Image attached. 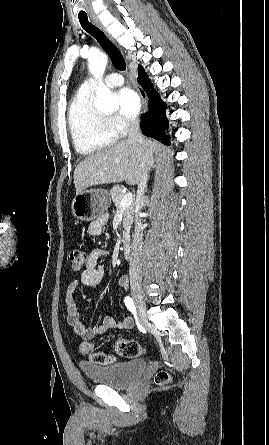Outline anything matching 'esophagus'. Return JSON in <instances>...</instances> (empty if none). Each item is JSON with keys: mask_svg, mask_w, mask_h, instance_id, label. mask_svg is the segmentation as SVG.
Returning a JSON list of instances; mask_svg holds the SVG:
<instances>
[{"mask_svg": "<svg viewBox=\"0 0 269 445\" xmlns=\"http://www.w3.org/2000/svg\"><path fill=\"white\" fill-rule=\"evenodd\" d=\"M91 20H92V22H93L96 26H98V27H99V28H100L106 35H108V37L110 38V36H109L107 30H106L105 27L102 25V23L100 22L99 18H98L96 15H91ZM110 39H111V38H110ZM137 90H138V93H139L140 98H141L142 110H143V111H146V110H147V96H146V93H145V91H144L142 88H140V87H137Z\"/></svg>", "mask_w": 269, "mask_h": 445, "instance_id": "esophagus-1", "label": "esophagus"}]
</instances>
